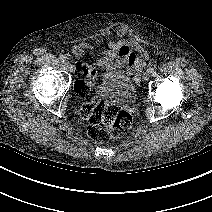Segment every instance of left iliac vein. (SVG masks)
Returning <instances> with one entry per match:
<instances>
[{
	"label": "left iliac vein",
	"instance_id": "left-iliac-vein-1",
	"mask_svg": "<svg viewBox=\"0 0 212 212\" xmlns=\"http://www.w3.org/2000/svg\"><path fill=\"white\" fill-rule=\"evenodd\" d=\"M150 76H151V73L147 70V71L143 74L142 80H143L144 82H146V81L149 80Z\"/></svg>",
	"mask_w": 212,
	"mask_h": 212
}]
</instances>
